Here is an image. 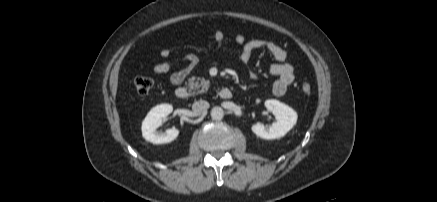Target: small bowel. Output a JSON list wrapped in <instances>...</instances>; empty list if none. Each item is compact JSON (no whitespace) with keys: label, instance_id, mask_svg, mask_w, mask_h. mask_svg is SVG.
Listing matches in <instances>:
<instances>
[{"label":"small bowel","instance_id":"1","mask_svg":"<svg viewBox=\"0 0 437 202\" xmlns=\"http://www.w3.org/2000/svg\"><path fill=\"white\" fill-rule=\"evenodd\" d=\"M214 42L218 49L222 48L225 43V36L222 31L216 30L213 35ZM236 45L241 47L239 59L242 63L248 64L253 53L257 50L267 51L275 60L276 63L269 67V74L276 77V80L272 84V92L275 96H284L287 92L289 85H291L295 79V71L293 65L287 62V52L277 45L276 43L264 40V39H251L246 40L241 34L234 38ZM160 56L165 60L153 65V71L157 74H167L172 70L173 64L170 61L172 56V50L163 47L159 52ZM183 67L173 72L170 75V81L175 86H180L185 78L194 70L199 63L197 55L190 53L183 57ZM249 75L253 79L258 78V74L250 70Z\"/></svg>","mask_w":437,"mask_h":202}]
</instances>
